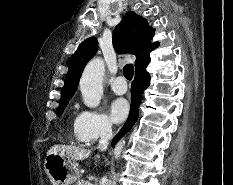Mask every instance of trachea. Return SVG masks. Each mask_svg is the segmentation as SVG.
Listing matches in <instances>:
<instances>
[{
	"instance_id": "1",
	"label": "trachea",
	"mask_w": 233,
	"mask_h": 185,
	"mask_svg": "<svg viewBox=\"0 0 233 185\" xmlns=\"http://www.w3.org/2000/svg\"><path fill=\"white\" fill-rule=\"evenodd\" d=\"M123 73L126 79L131 80L134 75V67L132 64H127L124 66Z\"/></svg>"
}]
</instances>
